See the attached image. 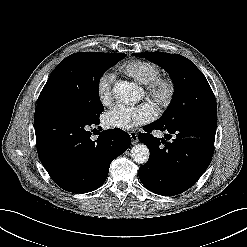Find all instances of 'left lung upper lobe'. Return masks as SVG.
Segmentation results:
<instances>
[{
    "label": "left lung upper lobe",
    "mask_w": 247,
    "mask_h": 247,
    "mask_svg": "<svg viewBox=\"0 0 247 247\" xmlns=\"http://www.w3.org/2000/svg\"><path fill=\"white\" fill-rule=\"evenodd\" d=\"M160 65L169 74L175 85L171 105L157 120L164 125L181 121H217V105L213 91L196 65L178 54L163 52L132 53Z\"/></svg>",
    "instance_id": "1"
}]
</instances>
